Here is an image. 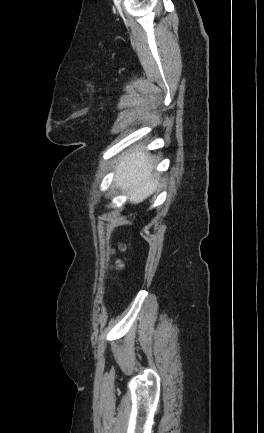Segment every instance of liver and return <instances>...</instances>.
Instances as JSON below:
<instances>
[{
	"label": "liver",
	"mask_w": 264,
	"mask_h": 433,
	"mask_svg": "<svg viewBox=\"0 0 264 433\" xmlns=\"http://www.w3.org/2000/svg\"><path fill=\"white\" fill-rule=\"evenodd\" d=\"M151 157L135 149L123 155L115 167L114 185L129 194L130 203L139 204L154 193L158 180L154 178Z\"/></svg>",
	"instance_id": "6515ba94"
}]
</instances>
